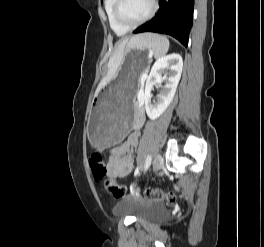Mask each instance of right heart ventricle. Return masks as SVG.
Wrapping results in <instances>:
<instances>
[{
    "label": "right heart ventricle",
    "mask_w": 264,
    "mask_h": 247,
    "mask_svg": "<svg viewBox=\"0 0 264 247\" xmlns=\"http://www.w3.org/2000/svg\"><path fill=\"white\" fill-rule=\"evenodd\" d=\"M114 4L115 0H104V10L108 19L111 29L118 35L126 34L129 29L120 25L114 17Z\"/></svg>",
    "instance_id": "right-heart-ventricle-1"
}]
</instances>
